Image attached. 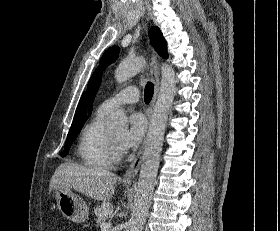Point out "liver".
<instances>
[{"instance_id":"liver-1","label":"liver","mask_w":280,"mask_h":231,"mask_svg":"<svg viewBox=\"0 0 280 231\" xmlns=\"http://www.w3.org/2000/svg\"><path fill=\"white\" fill-rule=\"evenodd\" d=\"M117 179V175L111 171H95L79 163H60L51 177L49 191L54 187H70L86 197L108 201L114 195Z\"/></svg>"}]
</instances>
